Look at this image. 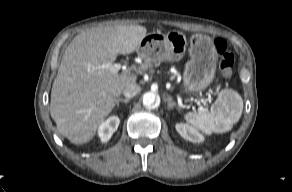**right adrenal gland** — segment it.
I'll return each mask as SVG.
<instances>
[{
  "instance_id": "2a0ac1e0",
  "label": "right adrenal gland",
  "mask_w": 292,
  "mask_h": 192,
  "mask_svg": "<svg viewBox=\"0 0 292 192\" xmlns=\"http://www.w3.org/2000/svg\"><path fill=\"white\" fill-rule=\"evenodd\" d=\"M129 100H130L129 98H126V99L118 98L117 101H116L117 108L119 107L120 103L123 102V103H126L127 104L129 102Z\"/></svg>"
}]
</instances>
